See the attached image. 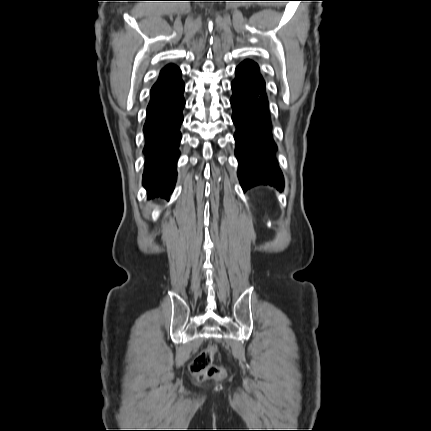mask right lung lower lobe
<instances>
[{
    "label": "right lung lower lobe",
    "instance_id": "98d812e1",
    "mask_svg": "<svg viewBox=\"0 0 431 431\" xmlns=\"http://www.w3.org/2000/svg\"><path fill=\"white\" fill-rule=\"evenodd\" d=\"M184 82L181 77L162 89L152 92L143 128L145 135V168L143 185L150 198H167L173 191L177 172L176 161L181 140L180 127Z\"/></svg>",
    "mask_w": 431,
    "mask_h": 431
}]
</instances>
